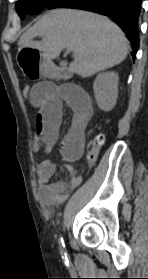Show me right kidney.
Masks as SVG:
<instances>
[{
    "label": "right kidney",
    "instance_id": "right-kidney-1",
    "mask_svg": "<svg viewBox=\"0 0 148 279\" xmlns=\"http://www.w3.org/2000/svg\"><path fill=\"white\" fill-rule=\"evenodd\" d=\"M118 74L114 71L99 73L93 83V91L98 107L111 111L118 97Z\"/></svg>",
    "mask_w": 148,
    "mask_h": 279
}]
</instances>
